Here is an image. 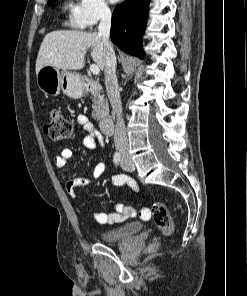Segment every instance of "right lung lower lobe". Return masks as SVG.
<instances>
[{
  "label": "right lung lower lobe",
  "instance_id": "1",
  "mask_svg": "<svg viewBox=\"0 0 247 296\" xmlns=\"http://www.w3.org/2000/svg\"><path fill=\"white\" fill-rule=\"evenodd\" d=\"M150 0H126L117 5L112 15L110 36L114 44L130 55L143 58L142 36Z\"/></svg>",
  "mask_w": 247,
  "mask_h": 296
}]
</instances>
